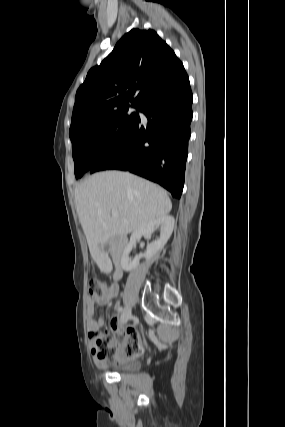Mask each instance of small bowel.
Segmentation results:
<instances>
[{
	"label": "small bowel",
	"instance_id": "obj_1",
	"mask_svg": "<svg viewBox=\"0 0 285 427\" xmlns=\"http://www.w3.org/2000/svg\"><path fill=\"white\" fill-rule=\"evenodd\" d=\"M115 277H119L115 274ZM119 292V286L117 282H113L109 288L108 291L104 294H102L96 301L89 299L88 300V309H87V330L89 334L91 332L98 330L99 328L105 326L106 320L102 317H96L95 315V304H98L100 306L106 305L111 299L117 296ZM115 310L120 311L121 307L119 304L115 305ZM110 326L114 332L121 335L123 337V341H114L113 343V349L115 352V358L113 361L104 360L101 359L98 355V352L95 348L94 343L92 344V351L93 355L95 357L96 363L100 366H106L108 364H120L125 361L124 358V349L128 346V340L131 336L137 335V332L132 327L124 328L120 325V319L117 315H113L110 319Z\"/></svg>",
	"mask_w": 285,
	"mask_h": 427
}]
</instances>
